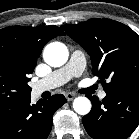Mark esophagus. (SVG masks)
Listing matches in <instances>:
<instances>
[{
	"instance_id": "obj_1",
	"label": "esophagus",
	"mask_w": 139,
	"mask_h": 139,
	"mask_svg": "<svg viewBox=\"0 0 139 139\" xmlns=\"http://www.w3.org/2000/svg\"><path fill=\"white\" fill-rule=\"evenodd\" d=\"M65 96L68 101H71L75 98V95L73 93H67Z\"/></svg>"
}]
</instances>
